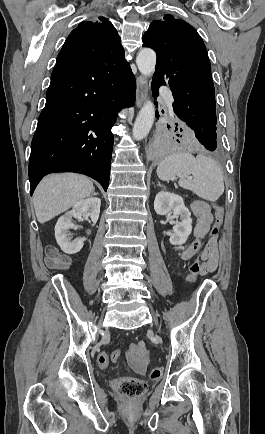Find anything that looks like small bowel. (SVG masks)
Returning <instances> with one entry per match:
<instances>
[{
    "instance_id": "obj_1",
    "label": "small bowel",
    "mask_w": 265,
    "mask_h": 434,
    "mask_svg": "<svg viewBox=\"0 0 265 434\" xmlns=\"http://www.w3.org/2000/svg\"><path fill=\"white\" fill-rule=\"evenodd\" d=\"M191 211L196 218L193 229L195 240L185 249L178 251V256L181 259H190L196 254L199 258L209 265L203 267L202 277L213 272L218 263L217 237L209 239L203 246L202 239L205 238L211 229L212 212L210 205L203 200H196L191 205ZM150 356V351L145 343L141 340L130 344L128 351V361L130 366L139 374L146 373V361Z\"/></svg>"
}]
</instances>
